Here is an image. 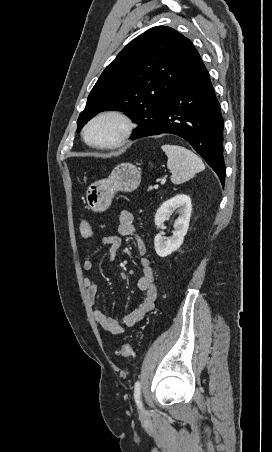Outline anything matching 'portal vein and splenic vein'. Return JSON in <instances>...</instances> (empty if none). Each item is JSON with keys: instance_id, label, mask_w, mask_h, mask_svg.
Segmentation results:
<instances>
[{"instance_id": "18ae733b", "label": "portal vein and splenic vein", "mask_w": 272, "mask_h": 452, "mask_svg": "<svg viewBox=\"0 0 272 452\" xmlns=\"http://www.w3.org/2000/svg\"><path fill=\"white\" fill-rule=\"evenodd\" d=\"M162 182H165V179L162 180ZM159 187L158 184L154 185V188L157 189Z\"/></svg>"}]
</instances>
